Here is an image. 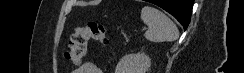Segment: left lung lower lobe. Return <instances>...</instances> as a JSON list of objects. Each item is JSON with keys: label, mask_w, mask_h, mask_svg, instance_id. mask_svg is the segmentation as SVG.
<instances>
[{"label": "left lung lower lobe", "mask_w": 244, "mask_h": 73, "mask_svg": "<svg viewBox=\"0 0 244 73\" xmlns=\"http://www.w3.org/2000/svg\"><path fill=\"white\" fill-rule=\"evenodd\" d=\"M173 15L186 29L190 22L193 0H149Z\"/></svg>", "instance_id": "0a47b994"}]
</instances>
